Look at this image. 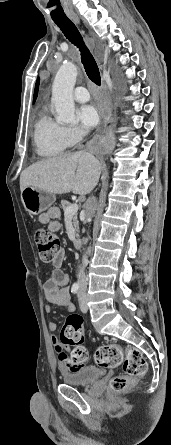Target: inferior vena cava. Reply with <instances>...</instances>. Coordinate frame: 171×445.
<instances>
[{
  "instance_id": "obj_1",
  "label": "inferior vena cava",
  "mask_w": 171,
  "mask_h": 445,
  "mask_svg": "<svg viewBox=\"0 0 171 445\" xmlns=\"http://www.w3.org/2000/svg\"><path fill=\"white\" fill-rule=\"evenodd\" d=\"M83 134H86V131L82 132ZM85 243H87V239L85 240ZM87 254V252H86ZM86 254L83 255V259H82V264H83V268L87 265V256ZM87 289V278L84 274V272L82 271V273L79 276V292L80 293H85Z\"/></svg>"
}]
</instances>
